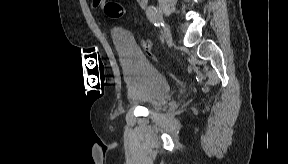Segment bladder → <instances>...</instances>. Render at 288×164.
<instances>
[{"mask_svg":"<svg viewBox=\"0 0 288 164\" xmlns=\"http://www.w3.org/2000/svg\"><path fill=\"white\" fill-rule=\"evenodd\" d=\"M114 41L126 75L129 99L148 110L166 105L171 89L164 72L150 64L123 34L115 35Z\"/></svg>","mask_w":288,"mask_h":164,"instance_id":"31cf9c89","label":"bladder"}]
</instances>
